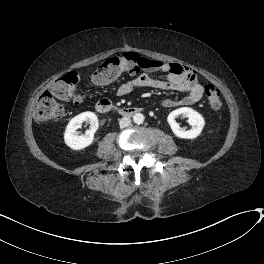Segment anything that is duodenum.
I'll return each instance as SVG.
<instances>
[{"label": "duodenum", "instance_id": "1", "mask_svg": "<svg viewBox=\"0 0 264 264\" xmlns=\"http://www.w3.org/2000/svg\"><path fill=\"white\" fill-rule=\"evenodd\" d=\"M95 109L97 112L101 114H107L112 110V104L107 99L99 100L96 105ZM141 112V109L138 107H120L117 110V113L124 117H131Z\"/></svg>", "mask_w": 264, "mask_h": 264}]
</instances>
